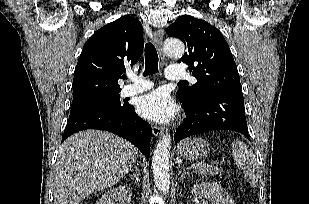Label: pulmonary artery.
Returning <instances> with one entry per match:
<instances>
[{
  "mask_svg": "<svg viewBox=\"0 0 309 204\" xmlns=\"http://www.w3.org/2000/svg\"><path fill=\"white\" fill-rule=\"evenodd\" d=\"M166 78L168 80H187L190 79L191 81L195 82L194 77L190 76L185 70L176 68V67H169L166 70ZM153 84L143 78H134L133 83L130 85H126L121 93L123 96H131L135 94L142 93L147 91L148 89L152 88Z\"/></svg>",
  "mask_w": 309,
  "mask_h": 204,
  "instance_id": "obj_1",
  "label": "pulmonary artery"
}]
</instances>
